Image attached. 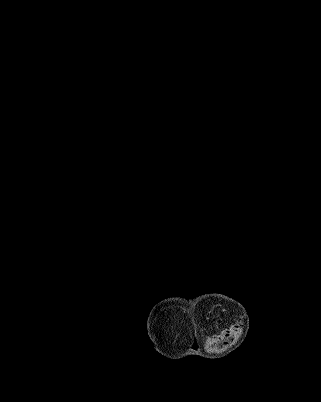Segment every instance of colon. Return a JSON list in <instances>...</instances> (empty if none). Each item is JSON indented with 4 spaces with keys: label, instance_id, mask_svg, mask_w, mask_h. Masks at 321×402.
I'll use <instances>...</instances> for the list:
<instances>
[{
    "label": "colon",
    "instance_id": "5ec220e1",
    "mask_svg": "<svg viewBox=\"0 0 321 402\" xmlns=\"http://www.w3.org/2000/svg\"><path fill=\"white\" fill-rule=\"evenodd\" d=\"M242 331V324L236 323L223 330L221 333L210 339L208 348L210 351H220L231 346L239 337Z\"/></svg>",
    "mask_w": 321,
    "mask_h": 402
}]
</instances>
